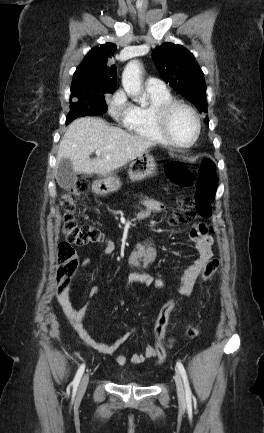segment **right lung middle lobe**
Masks as SVG:
<instances>
[{
	"label": "right lung middle lobe",
	"mask_w": 264,
	"mask_h": 433,
	"mask_svg": "<svg viewBox=\"0 0 264 433\" xmlns=\"http://www.w3.org/2000/svg\"><path fill=\"white\" fill-rule=\"evenodd\" d=\"M104 94L105 93L88 97H78L77 102H71L66 121L67 124L80 116H93L105 113L107 111V105L104 101Z\"/></svg>",
	"instance_id": "1"
}]
</instances>
